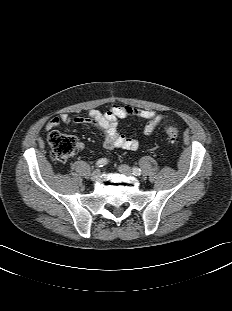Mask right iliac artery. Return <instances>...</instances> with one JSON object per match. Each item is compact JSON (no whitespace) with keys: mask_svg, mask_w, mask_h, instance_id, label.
Returning a JSON list of instances; mask_svg holds the SVG:
<instances>
[{"mask_svg":"<svg viewBox=\"0 0 232 311\" xmlns=\"http://www.w3.org/2000/svg\"><path fill=\"white\" fill-rule=\"evenodd\" d=\"M108 163V160L106 158L99 159L96 163L97 167H103Z\"/></svg>","mask_w":232,"mask_h":311,"instance_id":"82829eb1","label":"right iliac artery"}]
</instances>
